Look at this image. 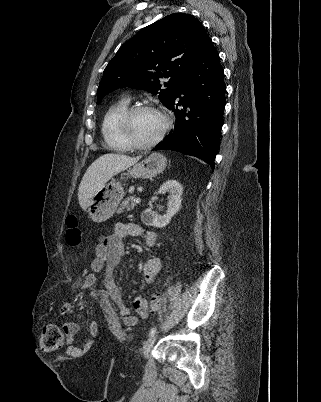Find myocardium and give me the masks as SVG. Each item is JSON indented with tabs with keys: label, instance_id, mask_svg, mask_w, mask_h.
Listing matches in <instances>:
<instances>
[{
	"label": "myocardium",
	"instance_id": "myocardium-1",
	"mask_svg": "<svg viewBox=\"0 0 321 402\" xmlns=\"http://www.w3.org/2000/svg\"><path fill=\"white\" fill-rule=\"evenodd\" d=\"M142 111H154L159 113L164 120V125L163 128L161 129L160 133L150 142L147 143H139L138 141L135 140L131 133V121L132 118L139 112ZM172 125V119L170 115L164 111L163 109L150 105V104H138L134 106L128 107L122 116L119 119L118 122V127L120 134L125 141V143L133 149L137 150H147L151 149L154 146H156L166 135V133L169 131Z\"/></svg>",
	"mask_w": 321,
	"mask_h": 402
}]
</instances>
